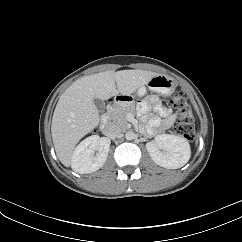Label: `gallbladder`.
<instances>
[{
	"instance_id": "bac80fb5",
	"label": "gallbladder",
	"mask_w": 242,
	"mask_h": 242,
	"mask_svg": "<svg viewBox=\"0 0 242 242\" xmlns=\"http://www.w3.org/2000/svg\"><path fill=\"white\" fill-rule=\"evenodd\" d=\"M94 104L96 106V108L99 110V111H104L105 110V103L103 100H100L98 98H95L94 99Z\"/></svg>"
}]
</instances>
